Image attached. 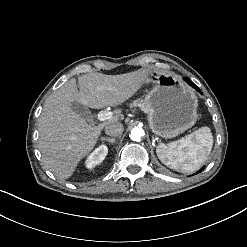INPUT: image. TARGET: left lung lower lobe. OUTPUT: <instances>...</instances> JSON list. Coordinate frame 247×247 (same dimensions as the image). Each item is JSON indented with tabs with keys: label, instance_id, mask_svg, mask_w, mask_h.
<instances>
[{
	"label": "left lung lower lobe",
	"instance_id": "left-lung-lower-lobe-1",
	"mask_svg": "<svg viewBox=\"0 0 247 247\" xmlns=\"http://www.w3.org/2000/svg\"><path fill=\"white\" fill-rule=\"evenodd\" d=\"M184 80L190 85V86H192L193 88H195L197 91H199L200 93H202L201 92V90L189 79V78H184ZM203 170V168L200 170V171H202Z\"/></svg>",
	"mask_w": 247,
	"mask_h": 247
}]
</instances>
